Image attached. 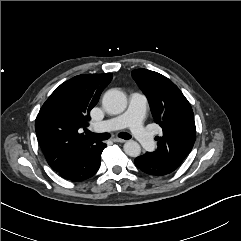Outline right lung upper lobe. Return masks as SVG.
I'll return each mask as SVG.
<instances>
[{"label":"right lung upper lobe","instance_id":"cb5924a9","mask_svg":"<svg viewBox=\"0 0 241 241\" xmlns=\"http://www.w3.org/2000/svg\"><path fill=\"white\" fill-rule=\"evenodd\" d=\"M111 80V73L78 75L61 84L41 107L35 122L36 135L54 171L101 143L85 138L80 131L86 130L89 112Z\"/></svg>","mask_w":241,"mask_h":241}]
</instances>
